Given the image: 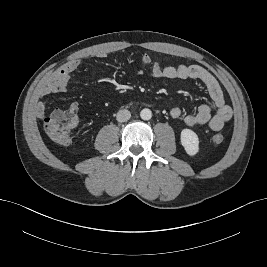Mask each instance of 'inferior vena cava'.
Segmentation results:
<instances>
[{"mask_svg": "<svg viewBox=\"0 0 267 267\" xmlns=\"http://www.w3.org/2000/svg\"><path fill=\"white\" fill-rule=\"evenodd\" d=\"M130 117H131L130 111H128L126 109H122V110L118 111L117 116H116V120L118 122H125V121L129 120Z\"/></svg>", "mask_w": 267, "mask_h": 267, "instance_id": "602c4592", "label": "inferior vena cava"}]
</instances>
